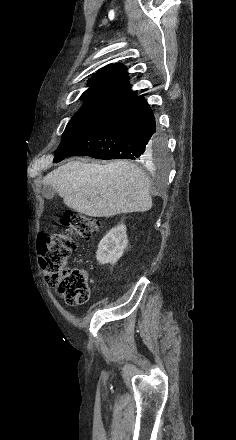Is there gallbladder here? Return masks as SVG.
I'll return each instance as SVG.
<instances>
[{"label":"gallbladder","mask_w":236,"mask_h":440,"mask_svg":"<svg viewBox=\"0 0 236 440\" xmlns=\"http://www.w3.org/2000/svg\"><path fill=\"white\" fill-rule=\"evenodd\" d=\"M41 192L42 196L48 200H52L56 196V191L51 185L44 184Z\"/></svg>","instance_id":"gallbladder-1"}]
</instances>
